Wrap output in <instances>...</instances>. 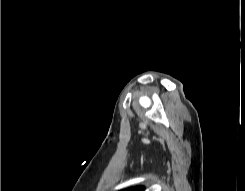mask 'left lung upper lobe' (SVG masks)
<instances>
[{
	"mask_svg": "<svg viewBox=\"0 0 245 191\" xmlns=\"http://www.w3.org/2000/svg\"><path fill=\"white\" fill-rule=\"evenodd\" d=\"M121 191H144V186L130 187Z\"/></svg>",
	"mask_w": 245,
	"mask_h": 191,
	"instance_id": "1",
	"label": "left lung upper lobe"
}]
</instances>
